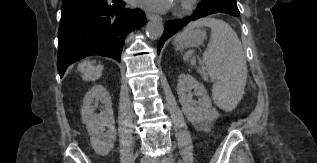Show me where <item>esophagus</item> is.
<instances>
[{
	"label": "esophagus",
	"instance_id": "esophagus-1",
	"mask_svg": "<svg viewBox=\"0 0 317 163\" xmlns=\"http://www.w3.org/2000/svg\"><path fill=\"white\" fill-rule=\"evenodd\" d=\"M146 17L149 20H160V21H162V18L160 16H158L156 14H153V13H150V12L146 13Z\"/></svg>",
	"mask_w": 317,
	"mask_h": 163
}]
</instances>
